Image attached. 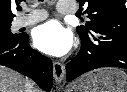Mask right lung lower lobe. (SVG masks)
I'll return each mask as SVG.
<instances>
[{"mask_svg": "<svg viewBox=\"0 0 127 92\" xmlns=\"http://www.w3.org/2000/svg\"><path fill=\"white\" fill-rule=\"evenodd\" d=\"M27 34L17 39L0 38V65L31 77L41 89L49 92L52 86V61L29 46Z\"/></svg>", "mask_w": 127, "mask_h": 92, "instance_id": "right-lung-lower-lobe-1", "label": "right lung lower lobe"}]
</instances>
